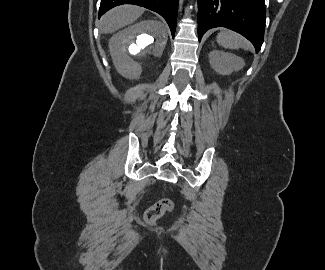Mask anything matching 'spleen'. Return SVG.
I'll list each match as a JSON object with an SVG mask.
<instances>
[{
    "label": "spleen",
    "mask_w": 325,
    "mask_h": 270,
    "mask_svg": "<svg viewBox=\"0 0 325 270\" xmlns=\"http://www.w3.org/2000/svg\"><path fill=\"white\" fill-rule=\"evenodd\" d=\"M217 42L226 49L243 48L245 50H250V44L246 39L229 30H221L217 35Z\"/></svg>",
    "instance_id": "obj_1"
}]
</instances>
